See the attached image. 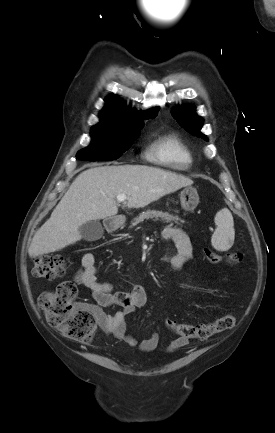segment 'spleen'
Instances as JSON below:
<instances>
[{
	"label": "spleen",
	"instance_id": "spleen-1",
	"mask_svg": "<svg viewBox=\"0 0 275 433\" xmlns=\"http://www.w3.org/2000/svg\"><path fill=\"white\" fill-rule=\"evenodd\" d=\"M214 222L216 229L211 238V244L217 251L229 250L235 238L234 221L231 212L227 208L217 212Z\"/></svg>",
	"mask_w": 275,
	"mask_h": 433
}]
</instances>
